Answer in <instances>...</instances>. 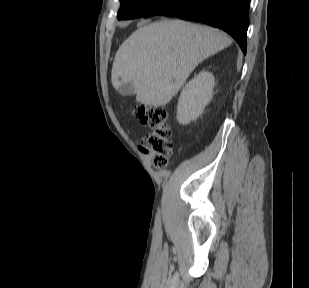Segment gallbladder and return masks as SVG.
<instances>
[{
	"mask_svg": "<svg viewBox=\"0 0 309 288\" xmlns=\"http://www.w3.org/2000/svg\"><path fill=\"white\" fill-rule=\"evenodd\" d=\"M118 91L123 96L130 95L133 92V85L131 83H122L119 86Z\"/></svg>",
	"mask_w": 309,
	"mask_h": 288,
	"instance_id": "bac80fb5",
	"label": "gallbladder"
}]
</instances>
